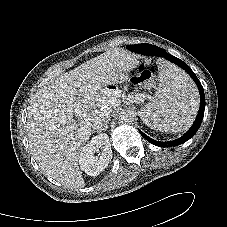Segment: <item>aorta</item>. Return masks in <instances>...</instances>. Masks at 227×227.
Instances as JSON below:
<instances>
[{"label":"aorta","instance_id":"1","mask_svg":"<svg viewBox=\"0 0 227 227\" xmlns=\"http://www.w3.org/2000/svg\"><path fill=\"white\" fill-rule=\"evenodd\" d=\"M118 119L125 124L132 123L135 119V113L130 109H123L119 112Z\"/></svg>","mask_w":227,"mask_h":227}]
</instances>
